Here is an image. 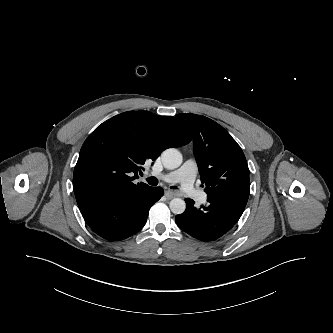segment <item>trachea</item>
Returning <instances> with one entry per match:
<instances>
[{"label": "trachea", "instance_id": "3493384b", "mask_svg": "<svg viewBox=\"0 0 333 333\" xmlns=\"http://www.w3.org/2000/svg\"><path fill=\"white\" fill-rule=\"evenodd\" d=\"M146 181L148 182V184L152 185V186H156L158 184V179L156 177H149L146 179ZM172 189H177L176 186H172Z\"/></svg>", "mask_w": 333, "mask_h": 333}]
</instances>
